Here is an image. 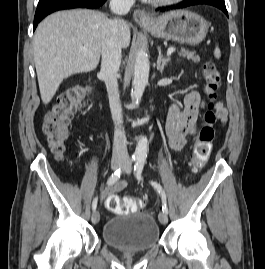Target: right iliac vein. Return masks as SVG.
Listing matches in <instances>:
<instances>
[{"instance_id": "obj_1", "label": "right iliac vein", "mask_w": 265, "mask_h": 269, "mask_svg": "<svg viewBox=\"0 0 265 269\" xmlns=\"http://www.w3.org/2000/svg\"><path fill=\"white\" fill-rule=\"evenodd\" d=\"M122 165H123V162H122L121 160H119V159H114V160H112V162H111V168H112V170H117V169H119ZM91 219H92V222H93L94 224L98 223L99 220H100V214H99V212L96 211V210H94Z\"/></svg>"}]
</instances>
